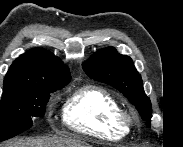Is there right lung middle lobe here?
I'll return each instance as SVG.
<instances>
[{
  "instance_id": "right-lung-middle-lobe-1",
  "label": "right lung middle lobe",
  "mask_w": 183,
  "mask_h": 147,
  "mask_svg": "<svg viewBox=\"0 0 183 147\" xmlns=\"http://www.w3.org/2000/svg\"><path fill=\"white\" fill-rule=\"evenodd\" d=\"M60 88L43 85L5 87L0 102V142L31 128L32 119L44 115L49 94Z\"/></svg>"
}]
</instances>
